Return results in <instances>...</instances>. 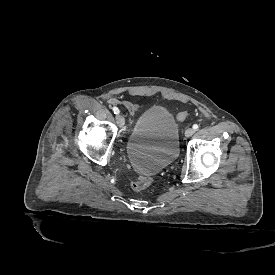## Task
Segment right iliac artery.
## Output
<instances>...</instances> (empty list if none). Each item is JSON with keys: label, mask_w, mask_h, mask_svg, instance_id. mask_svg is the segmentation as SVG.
Here are the masks:
<instances>
[{"label": "right iliac artery", "mask_w": 275, "mask_h": 275, "mask_svg": "<svg viewBox=\"0 0 275 275\" xmlns=\"http://www.w3.org/2000/svg\"><path fill=\"white\" fill-rule=\"evenodd\" d=\"M114 114H119V109L117 107H113Z\"/></svg>", "instance_id": "obj_1"}]
</instances>
